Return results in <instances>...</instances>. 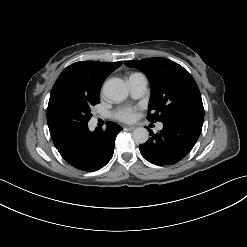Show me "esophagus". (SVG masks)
I'll list each match as a JSON object with an SVG mask.
<instances>
[{
  "label": "esophagus",
  "mask_w": 247,
  "mask_h": 247,
  "mask_svg": "<svg viewBox=\"0 0 247 247\" xmlns=\"http://www.w3.org/2000/svg\"><path fill=\"white\" fill-rule=\"evenodd\" d=\"M124 129H125V130L133 131V130L136 129V127H135V126H125Z\"/></svg>",
  "instance_id": "1"
}]
</instances>
